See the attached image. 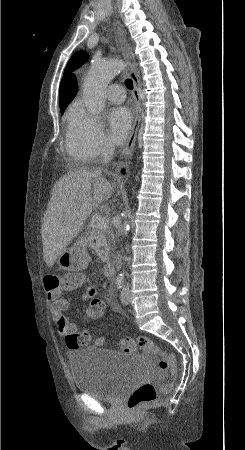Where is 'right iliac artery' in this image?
I'll use <instances>...</instances> for the list:
<instances>
[{
  "mask_svg": "<svg viewBox=\"0 0 245 450\" xmlns=\"http://www.w3.org/2000/svg\"><path fill=\"white\" fill-rule=\"evenodd\" d=\"M123 283H124V278L122 275H119L116 279V285L119 289H121L123 287Z\"/></svg>",
  "mask_w": 245,
  "mask_h": 450,
  "instance_id": "82829eb1",
  "label": "right iliac artery"
}]
</instances>
